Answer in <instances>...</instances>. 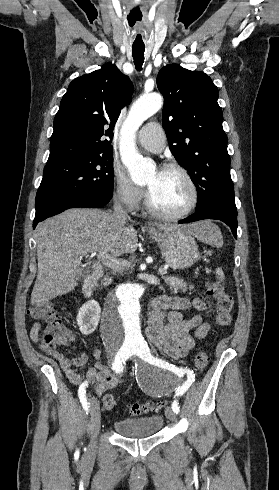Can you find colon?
I'll use <instances>...</instances> for the list:
<instances>
[{"label": "colon", "mask_w": 279, "mask_h": 490, "mask_svg": "<svg viewBox=\"0 0 279 490\" xmlns=\"http://www.w3.org/2000/svg\"><path fill=\"white\" fill-rule=\"evenodd\" d=\"M207 295L212 297L217 303L215 314V324L217 327H226L230 324L233 312V301L226 293L222 283L214 278L205 280ZM29 315L43 325L40 327L43 347L50 349L60 346L73 337V330L64 328L57 312L49 303L36 304L29 309ZM208 355L199 352L194 357V365L198 371H202L208 363ZM116 401L111 394H106L103 398V406L107 411L115 409ZM158 405L151 402H135L129 406L131 416L152 414L158 409Z\"/></svg>", "instance_id": "1"}]
</instances>
